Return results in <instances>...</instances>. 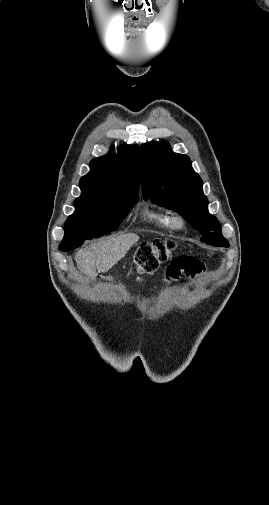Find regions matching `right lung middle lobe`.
Wrapping results in <instances>:
<instances>
[{
	"label": "right lung middle lobe",
	"instance_id": "obj_1",
	"mask_svg": "<svg viewBox=\"0 0 269 505\" xmlns=\"http://www.w3.org/2000/svg\"><path fill=\"white\" fill-rule=\"evenodd\" d=\"M137 202L136 196H80L75 200V212L65 222L59 250L71 251L87 239L116 230Z\"/></svg>",
	"mask_w": 269,
	"mask_h": 505
}]
</instances>
